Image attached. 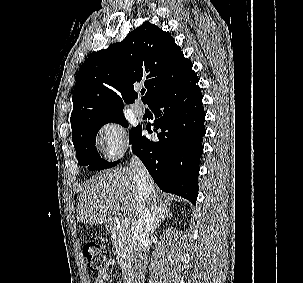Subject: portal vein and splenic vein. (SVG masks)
I'll return each mask as SVG.
<instances>
[{
    "label": "portal vein and splenic vein",
    "mask_w": 303,
    "mask_h": 283,
    "mask_svg": "<svg viewBox=\"0 0 303 283\" xmlns=\"http://www.w3.org/2000/svg\"><path fill=\"white\" fill-rule=\"evenodd\" d=\"M116 210H119V209L116 208ZM121 225H122L123 227H125V228H128V226L130 225V222H129L128 219H123V220L121 221Z\"/></svg>",
    "instance_id": "obj_1"
}]
</instances>
